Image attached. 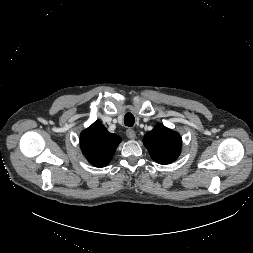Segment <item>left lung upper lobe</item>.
Here are the masks:
<instances>
[{"mask_svg":"<svg viewBox=\"0 0 253 253\" xmlns=\"http://www.w3.org/2000/svg\"><path fill=\"white\" fill-rule=\"evenodd\" d=\"M143 143L152 159L159 164H170L181 153L182 140L180 135L160 124L146 133Z\"/></svg>","mask_w":253,"mask_h":253,"instance_id":"left-lung-upper-lobe-1","label":"left lung upper lobe"}]
</instances>
